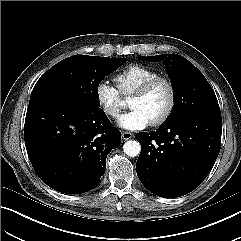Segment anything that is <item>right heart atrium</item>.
<instances>
[{"instance_id":"1","label":"right heart atrium","mask_w":241,"mask_h":241,"mask_svg":"<svg viewBox=\"0 0 241 241\" xmlns=\"http://www.w3.org/2000/svg\"><path fill=\"white\" fill-rule=\"evenodd\" d=\"M96 101L105 115L116 117L121 110L119 90L106 80L97 83L94 90Z\"/></svg>"}]
</instances>
